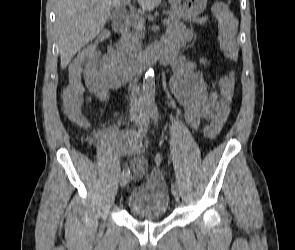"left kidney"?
I'll use <instances>...</instances> for the list:
<instances>
[{
    "instance_id": "5707ae66",
    "label": "left kidney",
    "mask_w": 295,
    "mask_h": 250,
    "mask_svg": "<svg viewBox=\"0 0 295 250\" xmlns=\"http://www.w3.org/2000/svg\"><path fill=\"white\" fill-rule=\"evenodd\" d=\"M200 63H202V64H206L207 63V61L206 60H204V59H202V60H200Z\"/></svg>"
}]
</instances>
